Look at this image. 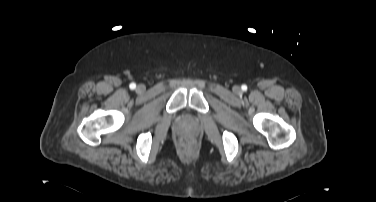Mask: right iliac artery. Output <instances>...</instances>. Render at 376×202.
<instances>
[{
  "mask_svg": "<svg viewBox=\"0 0 376 202\" xmlns=\"http://www.w3.org/2000/svg\"><path fill=\"white\" fill-rule=\"evenodd\" d=\"M129 87H130V89H132V90H133V89H135V88H136V84H135V83H131Z\"/></svg>",
  "mask_w": 376,
  "mask_h": 202,
  "instance_id": "right-iliac-artery-1",
  "label": "right iliac artery"
}]
</instances>
